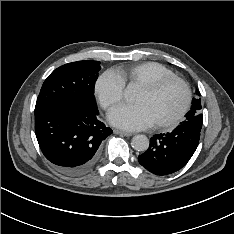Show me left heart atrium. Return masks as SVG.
Wrapping results in <instances>:
<instances>
[{"label": "left heart atrium", "instance_id": "left-heart-atrium-1", "mask_svg": "<svg viewBox=\"0 0 234 234\" xmlns=\"http://www.w3.org/2000/svg\"><path fill=\"white\" fill-rule=\"evenodd\" d=\"M108 119L114 126L126 130H140L153 125L148 112L139 104L116 107L110 111Z\"/></svg>", "mask_w": 234, "mask_h": 234}]
</instances>
